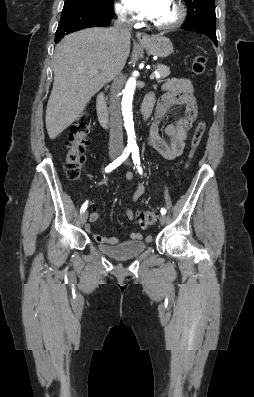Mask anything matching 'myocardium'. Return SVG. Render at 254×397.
<instances>
[{
    "instance_id": "myocardium-1",
    "label": "myocardium",
    "mask_w": 254,
    "mask_h": 397,
    "mask_svg": "<svg viewBox=\"0 0 254 397\" xmlns=\"http://www.w3.org/2000/svg\"><path fill=\"white\" fill-rule=\"evenodd\" d=\"M174 5L177 8V17L174 21L168 24H156L152 22V26L158 30L161 31H168V30H173L177 27H179L185 20L186 17V9L183 3L180 0H172Z\"/></svg>"
}]
</instances>
